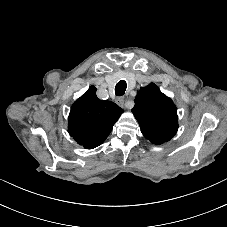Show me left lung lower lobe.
Here are the masks:
<instances>
[{
  "instance_id": "1",
  "label": "left lung lower lobe",
  "mask_w": 227,
  "mask_h": 227,
  "mask_svg": "<svg viewBox=\"0 0 227 227\" xmlns=\"http://www.w3.org/2000/svg\"><path fill=\"white\" fill-rule=\"evenodd\" d=\"M147 139H149L152 143H154V144H161V143H159V142H157L155 139H153V138H150V137H147Z\"/></svg>"
}]
</instances>
